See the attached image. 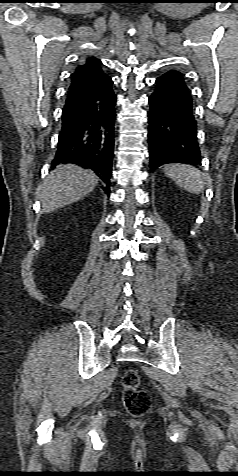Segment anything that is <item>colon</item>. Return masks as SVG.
<instances>
[{"mask_svg": "<svg viewBox=\"0 0 238 476\" xmlns=\"http://www.w3.org/2000/svg\"><path fill=\"white\" fill-rule=\"evenodd\" d=\"M123 387V404L126 411L134 416H143L151 407L149 394L141 390L140 377L135 369L126 370L121 378Z\"/></svg>", "mask_w": 238, "mask_h": 476, "instance_id": "1", "label": "colon"}]
</instances>
